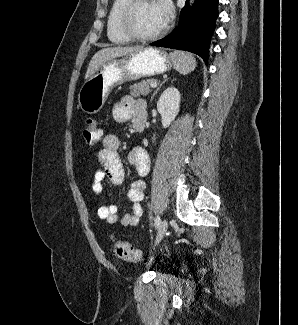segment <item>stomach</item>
<instances>
[{"instance_id": "0dacf381", "label": "stomach", "mask_w": 298, "mask_h": 325, "mask_svg": "<svg viewBox=\"0 0 298 325\" xmlns=\"http://www.w3.org/2000/svg\"><path fill=\"white\" fill-rule=\"evenodd\" d=\"M172 66L170 54L157 46H144L142 50L123 54L121 58L106 60L82 84L78 104L87 114H95L103 108L115 86L128 80L164 74L171 70Z\"/></svg>"}]
</instances>
